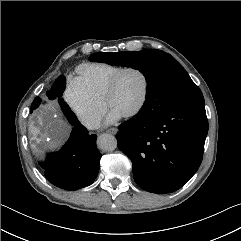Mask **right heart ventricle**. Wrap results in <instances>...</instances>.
<instances>
[{
    "instance_id": "1",
    "label": "right heart ventricle",
    "mask_w": 241,
    "mask_h": 241,
    "mask_svg": "<svg viewBox=\"0 0 241 241\" xmlns=\"http://www.w3.org/2000/svg\"><path fill=\"white\" fill-rule=\"evenodd\" d=\"M121 68L120 65L110 63H86L78 67L77 80L95 99L103 102L110 79Z\"/></svg>"
}]
</instances>
